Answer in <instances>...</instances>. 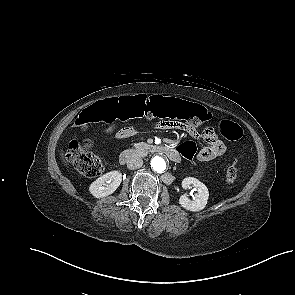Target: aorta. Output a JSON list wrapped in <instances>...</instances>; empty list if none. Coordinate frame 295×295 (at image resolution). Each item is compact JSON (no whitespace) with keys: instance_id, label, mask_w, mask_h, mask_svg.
Segmentation results:
<instances>
[{"instance_id":"762f6f07","label":"aorta","mask_w":295,"mask_h":295,"mask_svg":"<svg viewBox=\"0 0 295 295\" xmlns=\"http://www.w3.org/2000/svg\"><path fill=\"white\" fill-rule=\"evenodd\" d=\"M151 168L156 173H163L167 168L166 160L161 156H155L151 160Z\"/></svg>"}]
</instances>
